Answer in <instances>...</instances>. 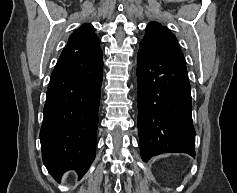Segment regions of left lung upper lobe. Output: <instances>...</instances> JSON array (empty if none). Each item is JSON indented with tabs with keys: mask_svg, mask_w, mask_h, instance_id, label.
<instances>
[{
	"mask_svg": "<svg viewBox=\"0 0 237 193\" xmlns=\"http://www.w3.org/2000/svg\"><path fill=\"white\" fill-rule=\"evenodd\" d=\"M141 43L148 44L166 55L185 62L175 35L160 23L150 22L148 24L146 34Z\"/></svg>",
	"mask_w": 237,
	"mask_h": 193,
	"instance_id": "5c2ea615",
	"label": "left lung upper lobe"
}]
</instances>
